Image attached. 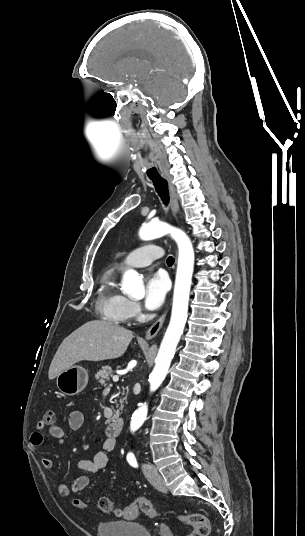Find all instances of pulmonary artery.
<instances>
[{
  "instance_id": "pulmonary-artery-1",
  "label": "pulmonary artery",
  "mask_w": 305,
  "mask_h": 536,
  "mask_svg": "<svg viewBox=\"0 0 305 536\" xmlns=\"http://www.w3.org/2000/svg\"><path fill=\"white\" fill-rule=\"evenodd\" d=\"M164 248H159V244L156 241L141 246L130 253H128L120 262V269L128 267H144L150 265L153 261L157 260ZM165 257V254H162Z\"/></svg>"
}]
</instances>
